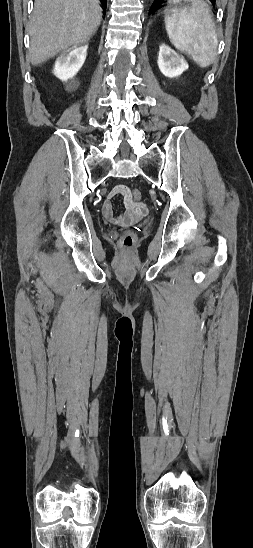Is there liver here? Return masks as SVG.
<instances>
[{
    "mask_svg": "<svg viewBox=\"0 0 253 548\" xmlns=\"http://www.w3.org/2000/svg\"><path fill=\"white\" fill-rule=\"evenodd\" d=\"M101 19L98 0H35L29 25L32 65L87 42Z\"/></svg>",
    "mask_w": 253,
    "mask_h": 548,
    "instance_id": "6515ba94",
    "label": "liver"
}]
</instances>
